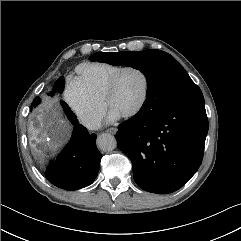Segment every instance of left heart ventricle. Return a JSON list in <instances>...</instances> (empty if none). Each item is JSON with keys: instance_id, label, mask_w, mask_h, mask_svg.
Segmentation results:
<instances>
[{"instance_id": "1", "label": "left heart ventricle", "mask_w": 241, "mask_h": 241, "mask_svg": "<svg viewBox=\"0 0 241 241\" xmlns=\"http://www.w3.org/2000/svg\"><path fill=\"white\" fill-rule=\"evenodd\" d=\"M143 91L144 78L142 74L137 70H127L120 76L108 107L122 116L138 105Z\"/></svg>"}]
</instances>
